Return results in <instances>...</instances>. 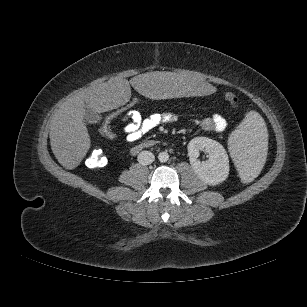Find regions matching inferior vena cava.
<instances>
[{
    "label": "inferior vena cava",
    "instance_id": "inferior-vena-cava-1",
    "mask_svg": "<svg viewBox=\"0 0 307 307\" xmlns=\"http://www.w3.org/2000/svg\"><path fill=\"white\" fill-rule=\"evenodd\" d=\"M137 160L141 165H149L155 160V156L150 151H142L138 154Z\"/></svg>",
    "mask_w": 307,
    "mask_h": 307
}]
</instances>
